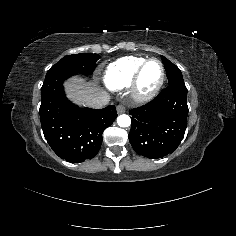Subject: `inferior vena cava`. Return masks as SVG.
<instances>
[{"label": "inferior vena cava", "instance_id": "1", "mask_svg": "<svg viewBox=\"0 0 236 236\" xmlns=\"http://www.w3.org/2000/svg\"><path fill=\"white\" fill-rule=\"evenodd\" d=\"M109 95H102L98 97H93L86 102V106L93 109H100L106 106L109 103Z\"/></svg>", "mask_w": 236, "mask_h": 236}]
</instances>
